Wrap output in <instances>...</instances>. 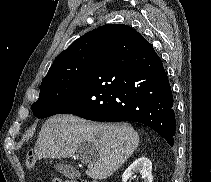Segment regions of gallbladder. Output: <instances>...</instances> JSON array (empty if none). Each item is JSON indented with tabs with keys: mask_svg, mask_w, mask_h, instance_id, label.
Here are the masks:
<instances>
[{
	"mask_svg": "<svg viewBox=\"0 0 211 182\" xmlns=\"http://www.w3.org/2000/svg\"><path fill=\"white\" fill-rule=\"evenodd\" d=\"M87 149V144H82L78 150V156L80 157V159H83L84 156V152ZM93 151V150H92ZM54 168L62 173L63 175H65L68 178H73L74 174H75V170L72 166L67 165V164H63V163H56L54 165Z\"/></svg>",
	"mask_w": 211,
	"mask_h": 182,
	"instance_id": "gallbladder-1",
	"label": "gallbladder"
}]
</instances>
